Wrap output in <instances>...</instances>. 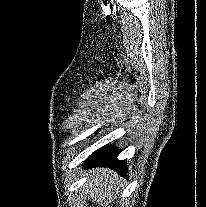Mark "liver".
Wrapping results in <instances>:
<instances>
[{
	"label": "liver",
	"mask_w": 206,
	"mask_h": 207,
	"mask_svg": "<svg viewBox=\"0 0 206 207\" xmlns=\"http://www.w3.org/2000/svg\"><path fill=\"white\" fill-rule=\"evenodd\" d=\"M89 178L84 184L83 191L92 202L98 206L108 207L122 189V179L109 168H96L90 171Z\"/></svg>",
	"instance_id": "1"
}]
</instances>
